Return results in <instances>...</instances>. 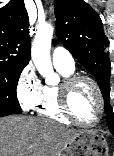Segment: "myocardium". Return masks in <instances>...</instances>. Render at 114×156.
Listing matches in <instances>:
<instances>
[{"mask_svg":"<svg viewBox=\"0 0 114 156\" xmlns=\"http://www.w3.org/2000/svg\"><path fill=\"white\" fill-rule=\"evenodd\" d=\"M83 81L88 82L92 85L98 98V113L96 118L90 123H85L81 121L74 114L70 104V97L73 89L76 87L77 84ZM59 103L63 114L70 121L82 127H93L97 125L101 120L102 114L104 112V98L99 84L92 77L83 74L71 75L63 80V82L59 86Z\"/></svg>","mask_w":114,"mask_h":156,"instance_id":"obj_1","label":"myocardium"}]
</instances>
